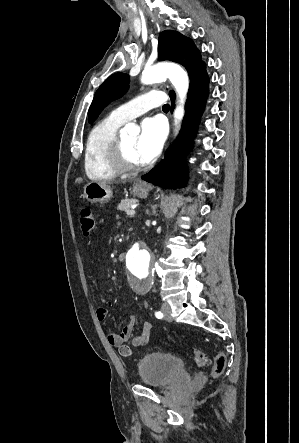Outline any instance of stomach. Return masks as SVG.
<instances>
[{
  "instance_id": "1",
  "label": "stomach",
  "mask_w": 299,
  "mask_h": 443,
  "mask_svg": "<svg viewBox=\"0 0 299 443\" xmlns=\"http://www.w3.org/2000/svg\"><path fill=\"white\" fill-rule=\"evenodd\" d=\"M151 186L147 184H134L133 193L140 198L148 196ZM113 192L110 186L99 183H88L84 187V197L91 203L104 204L110 200Z\"/></svg>"
}]
</instances>
